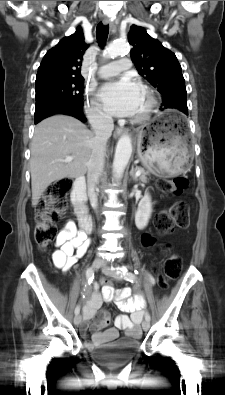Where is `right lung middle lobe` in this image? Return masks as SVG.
Masks as SVG:
<instances>
[{
	"instance_id": "dd1d6c3e",
	"label": "right lung middle lobe",
	"mask_w": 225,
	"mask_h": 395,
	"mask_svg": "<svg viewBox=\"0 0 225 395\" xmlns=\"http://www.w3.org/2000/svg\"><path fill=\"white\" fill-rule=\"evenodd\" d=\"M36 109L38 114L48 107L62 102H80L83 100L82 80H58L36 85Z\"/></svg>"
}]
</instances>
